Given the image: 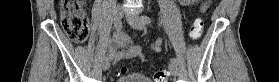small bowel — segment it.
I'll use <instances>...</instances> for the list:
<instances>
[{
  "mask_svg": "<svg viewBox=\"0 0 279 82\" xmlns=\"http://www.w3.org/2000/svg\"><path fill=\"white\" fill-rule=\"evenodd\" d=\"M195 3V0H180L179 5L189 6ZM204 6L202 9H205ZM158 48V46H157ZM110 57L113 62L119 63L124 61H131L135 59H143L144 54L139 44H137L132 36L125 31L119 33L117 37H114L109 45Z\"/></svg>",
  "mask_w": 279,
  "mask_h": 82,
  "instance_id": "obj_1",
  "label": "small bowel"
}]
</instances>
